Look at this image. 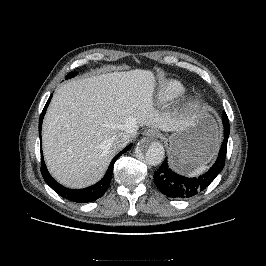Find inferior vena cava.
I'll return each mask as SVG.
<instances>
[{"label":"inferior vena cava","mask_w":266,"mask_h":266,"mask_svg":"<svg viewBox=\"0 0 266 266\" xmlns=\"http://www.w3.org/2000/svg\"><path fill=\"white\" fill-rule=\"evenodd\" d=\"M134 131H136V129L132 130L130 133L121 132L113 136L111 138L112 147L116 150L124 148L130 142Z\"/></svg>","instance_id":"602c4592"}]
</instances>
